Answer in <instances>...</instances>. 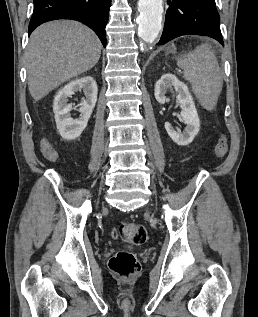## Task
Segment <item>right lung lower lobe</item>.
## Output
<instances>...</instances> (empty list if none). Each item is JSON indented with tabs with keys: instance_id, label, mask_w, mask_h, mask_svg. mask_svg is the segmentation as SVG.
I'll use <instances>...</instances> for the list:
<instances>
[{
	"instance_id": "98d812e1",
	"label": "right lung lower lobe",
	"mask_w": 258,
	"mask_h": 317,
	"mask_svg": "<svg viewBox=\"0 0 258 317\" xmlns=\"http://www.w3.org/2000/svg\"><path fill=\"white\" fill-rule=\"evenodd\" d=\"M34 11L29 35L42 23L57 19H72L90 27L106 46L105 27L111 0H33Z\"/></svg>"
}]
</instances>
